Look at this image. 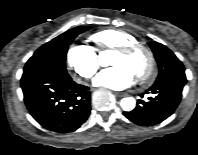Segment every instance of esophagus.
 I'll list each match as a JSON object with an SVG mask.
<instances>
[{"label":"esophagus","mask_w":198,"mask_h":155,"mask_svg":"<svg viewBox=\"0 0 198 155\" xmlns=\"http://www.w3.org/2000/svg\"><path fill=\"white\" fill-rule=\"evenodd\" d=\"M115 95H116L117 97H124L126 94H125V93L116 92Z\"/></svg>","instance_id":"1"}]
</instances>
